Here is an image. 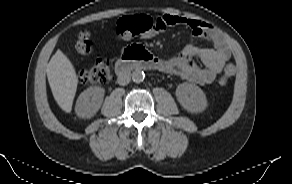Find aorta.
Wrapping results in <instances>:
<instances>
[{
    "instance_id": "aorta-1",
    "label": "aorta",
    "mask_w": 292,
    "mask_h": 184,
    "mask_svg": "<svg viewBox=\"0 0 292 184\" xmlns=\"http://www.w3.org/2000/svg\"><path fill=\"white\" fill-rule=\"evenodd\" d=\"M131 76L132 80L136 83L142 82L145 78L144 72L139 69L134 70Z\"/></svg>"
}]
</instances>
